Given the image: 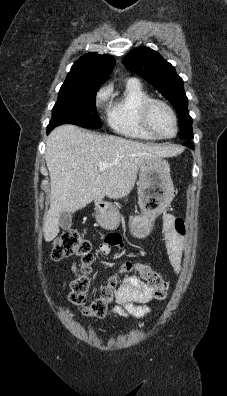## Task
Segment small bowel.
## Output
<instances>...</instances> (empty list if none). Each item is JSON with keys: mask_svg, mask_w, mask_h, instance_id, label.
<instances>
[{"mask_svg": "<svg viewBox=\"0 0 227 396\" xmlns=\"http://www.w3.org/2000/svg\"><path fill=\"white\" fill-rule=\"evenodd\" d=\"M162 232L167 254L173 269L181 270L184 238L186 227L183 220L175 218L171 214L163 215ZM122 239L118 234H109L100 245L103 254L110 253L113 247H121ZM76 273V265H73ZM104 286L108 281L103 283ZM153 288L146 282L138 279L135 275H126L122 283L115 290L116 305L112 307L111 314L120 317L144 318L151 309L148 303L152 300Z\"/></svg>", "mask_w": 227, "mask_h": 396, "instance_id": "1", "label": "small bowel"}]
</instances>
